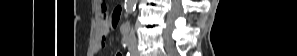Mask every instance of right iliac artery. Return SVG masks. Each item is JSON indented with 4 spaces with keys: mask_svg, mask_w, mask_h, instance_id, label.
I'll list each match as a JSON object with an SVG mask.
<instances>
[{
    "mask_svg": "<svg viewBox=\"0 0 297 56\" xmlns=\"http://www.w3.org/2000/svg\"><path fill=\"white\" fill-rule=\"evenodd\" d=\"M121 43H122V45H123L124 47H126V46L129 44V38H128L127 36H124V37L122 38Z\"/></svg>",
    "mask_w": 297,
    "mask_h": 56,
    "instance_id": "82829eb1",
    "label": "right iliac artery"
}]
</instances>
